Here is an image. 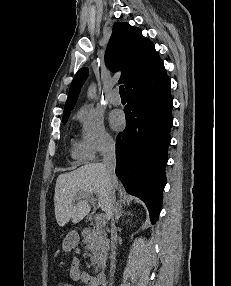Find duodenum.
<instances>
[{
	"instance_id": "1",
	"label": "duodenum",
	"mask_w": 231,
	"mask_h": 286,
	"mask_svg": "<svg viewBox=\"0 0 231 286\" xmlns=\"http://www.w3.org/2000/svg\"><path fill=\"white\" fill-rule=\"evenodd\" d=\"M96 281L98 284H103L106 281V272L101 269L97 272Z\"/></svg>"
}]
</instances>
